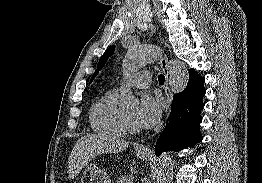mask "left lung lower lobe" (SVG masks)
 <instances>
[{
	"label": "left lung lower lobe",
	"instance_id": "left-lung-lower-lobe-1",
	"mask_svg": "<svg viewBox=\"0 0 262 183\" xmlns=\"http://www.w3.org/2000/svg\"><path fill=\"white\" fill-rule=\"evenodd\" d=\"M204 81L194 69L189 71L186 88L173 97L170 117L155 146L157 155L164 151H178L201 141L199 125L206 92Z\"/></svg>",
	"mask_w": 262,
	"mask_h": 183
}]
</instances>
